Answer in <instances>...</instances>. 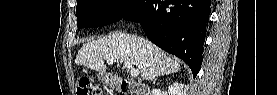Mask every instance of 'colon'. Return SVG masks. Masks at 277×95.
I'll return each mask as SVG.
<instances>
[{"instance_id":"1","label":"colon","mask_w":277,"mask_h":95,"mask_svg":"<svg viewBox=\"0 0 277 95\" xmlns=\"http://www.w3.org/2000/svg\"><path fill=\"white\" fill-rule=\"evenodd\" d=\"M78 95H100L102 90L99 86L92 84L89 79H81L77 88Z\"/></svg>"}]
</instances>
